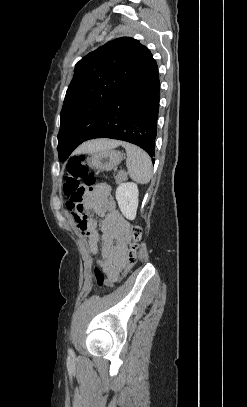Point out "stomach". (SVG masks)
I'll return each instance as SVG.
<instances>
[{"instance_id": "stomach-1", "label": "stomach", "mask_w": 247, "mask_h": 407, "mask_svg": "<svg viewBox=\"0 0 247 407\" xmlns=\"http://www.w3.org/2000/svg\"><path fill=\"white\" fill-rule=\"evenodd\" d=\"M124 154L118 150L105 149L92 153L87 158V164L98 171H110L123 159Z\"/></svg>"}]
</instances>
